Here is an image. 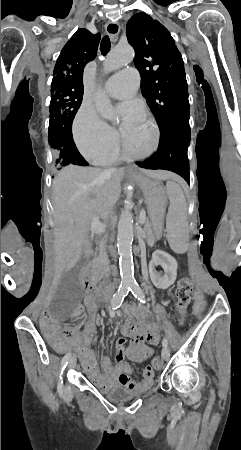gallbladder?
<instances>
[{"label": "gallbladder", "mask_w": 241, "mask_h": 450, "mask_svg": "<svg viewBox=\"0 0 241 450\" xmlns=\"http://www.w3.org/2000/svg\"><path fill=\"white\" fill-rule=\"evenodd\" d=\"M86 264H88V260L83 256L76 266L63 276L56 296H54V301L48 302V309L52 310L53 319L57 323H66L69 316L74 315V311L78 310L83 293L82 270Z\"/></svg>", "instance_id": "gallbladder-1"}]
</instances>
